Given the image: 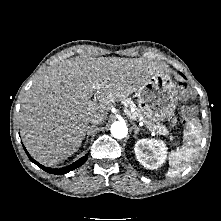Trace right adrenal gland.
I'll list each match as a JSON object with an SVG mask.
<instances>
[{
	"instance_id": "obj_1",
	"label": "right adrenal gland",
	"mask_w": 221,
	"mask_h": 221,
	"mask_svg": "<svg viewBox=\"0 0 221 221\" xmlns=\"http://www.w3.org/2000/svg\"><path fill=\"white\" fill-rule=\"evenodd\" d=\"M90 127H88V129H89ZM89 133L87 132V136L85 137V139H86V142H85V145L88 143V138H89Z\"/></svg>"
}]
</instances>
